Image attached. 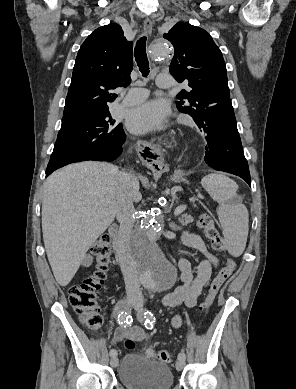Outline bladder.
Returning <instances> with one entry per match:
<instances>
[{
    "label": "bladder",
    "mask_w": 296,
    "mask_h": 389,
    "mask_svg": "<svg viewBox=\"0 0 296 389\" xmlns=\"http://www.w3.org/2000/svg\"><path fill=\"white\" fill-rule=\"evenodd\" d=\"M118 378L127 389H171L174 377L170 367L137 353H127L118 368Z\"/></svg>",
    "instance_id": "31cf9c89"
}]
</instances>
